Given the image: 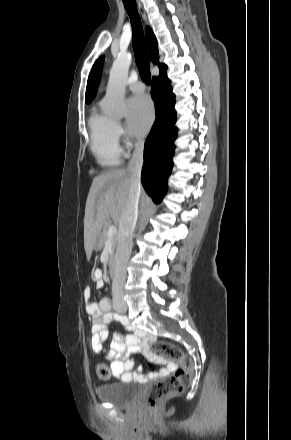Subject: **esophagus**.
Returning a JSON list of instances; mask_svg holds the SVG:
<instances>
[{
	"label": "esophagus",
	"instance_id": "34e87169",
	"mask_svg": "<svg viewBox=\"0 0 291 440\" xmlns=\"http://www.w3.org/2000/svg\"><path fill=\"white\" fill-rule=\"evenodd\" d=\"M138 9L140 11V14H141L143 20L146 22V13H145V10L140 2H138Z\"/></svg>",
	"mask_w": 291,
	"mask_h": 440
}]
</instances>
